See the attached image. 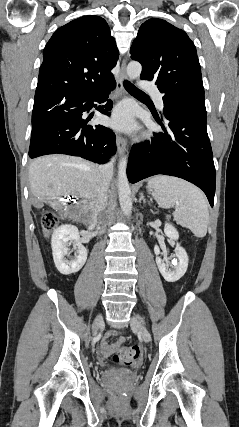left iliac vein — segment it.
<instances>
[{
    "label": "left iliac vein",
    "instance_id": "4c4485c4",
    "mask_svg": "<svg viewBox=\"0 0 239 427\" xmlns=\"http://www.w3.org/2000/svg\"><path fill=\"white\" fill-rule=\"evenodd\" d=\"M131 327L138 330L145 342L151 341V335L148 331L144 319L139 314H134L131 318Z\"/></svg>",
    "mask_w": 239,
    "mask_h": 427
}]
</instances>
